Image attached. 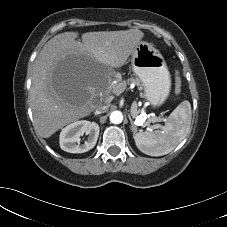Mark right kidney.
Masks as SVG:
<instances>
[{
	"label": "right kidney",
	"instance_id": "obj_1",
	"mask_svg": "<svg viewBox=\"0 0 227 227\" xmlns=\"http://www.w3.org/2000/svg\"><path fill=\"white\" fill-rule=\"evenodd\" d=\"M99 125L86 120L76 121L62 129L60 133V147L70 153H84L92 149L99 136ZM88 135L87 140L80 144V136Z\"/></svg>",
	"mask_w": 227,
	"mask_h": 227
}]
</instances>
